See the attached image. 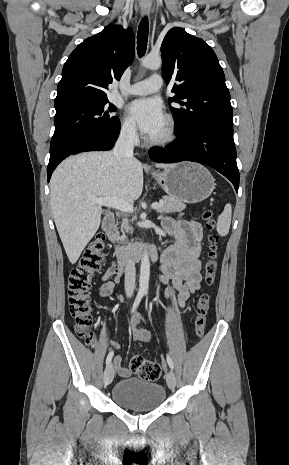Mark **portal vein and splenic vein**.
I'll list each match as a JSON object with an SVG mask.
<instances>
[{
  "label": "portal vein and splenic vein",
  "mask_w": 289,
  "mask_h": 465,
  "mask_svg": "<svg viewBox=\"0 0 289 465\" xmlns=\"http://www.w3.org/2000/svg\"><path fill=\"white\" fill-rule=\"evenodd\" d=\"M93 200L100 206L115 208V209H118L124 212H129V213L134 211V208L131 204L116 197H97V198H93ZM160 204L161 202L160 203L154 202L152 203L151 206L153 209H158L160 207Z\"/></svg>",
  "instance_id": "18ae733b"
}]
</instances>
